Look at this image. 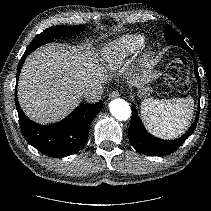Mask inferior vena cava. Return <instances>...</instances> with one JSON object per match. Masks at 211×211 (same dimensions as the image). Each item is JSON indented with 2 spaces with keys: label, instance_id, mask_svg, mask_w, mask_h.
Returning a JSON list of instances; mask_svg holds the SVG:
<instances>
[{
  "label": "inferior vena cava",
  "instance_id": "602c4592",
  "mask_svg": "<svg viewBox=\"0 0 211 211\" xmlns=\"http://www.w3.org/2000/svg\"><path fill=\"white\" fill-rule=\"evenodd\" d=\"M102 87H89L82 92L83 98L89 103H96L101 99Z\"/></svg>",
  "mask_w": 211,
  "mask_h": 211
}]
</instances>
